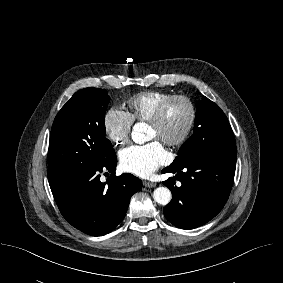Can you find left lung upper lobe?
Instances as JSON below:
<instances>
[{
    "mask_svg": "<svg viewBox=\"0 0 283 283\" xmlns=\"http://www.w3.org/2000/svg\"><path fill=\"white\" fill-rule=\"evenodd\" d=\"M232 128L220 107L203 96L197 104L193 135L181 146L170 166L208 154L235 149Z\"/></svg>",
    "mask_w": 283,
    "mask_h": 283,
    "instance_id": "1",
    "label": "left lung upper lobe"
}]
</instances>
